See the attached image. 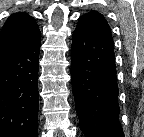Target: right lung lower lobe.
I'll use <instances>...</instances> for the list:
<instances>
[{
	"mask_svg": "<svg viewBox=\"0 0 144 137\" xmlns=\"http://www.w3.org/2000/svg\"><path fill=\"white\" fill-rule=\"evenodd\" d=\"M41 33L0 54V137H37Z\"/></svg>",
	"mask_w": 144,
	"mask_h": 137,
	"instance_id": "right-lung-lower-lobe-1",
	"label": "right lung lower lobe"
}]
</instances>
